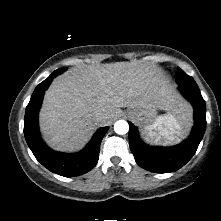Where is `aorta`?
Returning a JSON list of instances; mask_svg holds the SVG:
<instances>
[{"label": "aorta", "mask_w": 221, "mask_h": 221, "mask_svg": "<svg viewBox=\"0 0 221 221\" xmlns=\"http://www.w3.org/2000/svg\"><path fill=\"white\" fill-rule=\"evenodd\" d=\"M128 130H129V125L125 120H118L114 124V131L117 134H120V135L126 134Z\"/></svg>", "instance_id": "1"}]
</instances>
